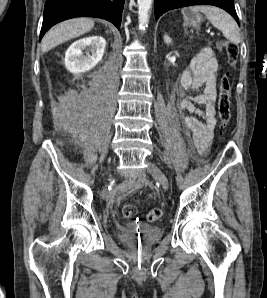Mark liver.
<instances>
[{
	"mask_svg": "<svg viewBox=\"0 0 267 298\" xmlns=\"http://www.w3.org/2000/svg\"><path fill=\"white\" fill-rule=\"evenodd\" d=\"M93 27L94 21L88 18H75L64 21L45 34L42 39L41 50L45 53L57 45L88 33Z\"/></svg>",
	"mask_w": 267,
	"mask_h": 298,
	"instance_id": "liver-1",
	"label": "liver"
}]
</instances>
